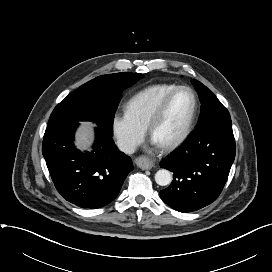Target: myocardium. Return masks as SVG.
<instances>
[{
  "instance_id": "obj_1",
  "label": "myocardium",
  "mask_w": 272,
  "mask_h": 272,
  "mask_svg": "<svg viewBox=\"0 0 272 272\" xmlns=\"http://www.w3.org/2000/svg\"><path fill=\"white\" fill-rule=\"evenodd\" d=\"M183 90L188 91L192 96V99H193L192 112H191L190 117H189L183 131L181 132V134L177 138H175L174 140L160 145V147L162 149L167 150V151L173 150V149L179 147L181 144H183L193 130V127H194V124H195V121L197 118V114H198V109H199L198 97H197L195 91L192 88H190L189 86H177L175 89L170 91L163 98V100L160 102V104L156 108V110L153 113V115L148 123V126H147L148 133L152 137L156 126L158 125V123L162 120L163 116L165 115L171 100L178 92L183 91Z\"/></svg>"
}]
</instances>
